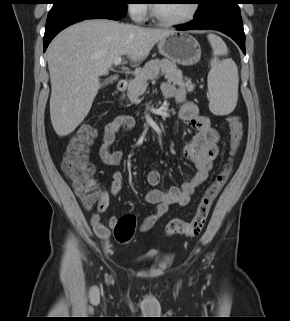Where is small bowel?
Returning <instances> with one entry per match:
<instances>
[{"instance_id": "1", "label": "small bowel", "mask_w": 290, "mask_h": 321, "mask_svg": "<svg viewBox=\"0 0 290 321\" xmlns=\"http://www.w3.org/2000/svg\"><path fill=\"white\" fill-rule=\"evenodd\" d=\"M161 91L165 98H172L177 102L179 121L195 132L193 139L183 147L182 156L195 165L196 172L181 187H171L168 190L158 188L161 179L159 170H152L148 174L147 182L151 190L146 194L145 199L148 203L155 205L156 210L144 219L143 230L153 227L168 211L171 204L187 205L194 191L209 177L213 161L219 154L218 132L211 127L208 118L199 113L197 105L186 100V89L165 82L161 86ZM135 126L136 121L130 115H118L105 125L102 144L99 148V157L104 164L117 166L122 162L123 152L112 151L111 147L120 131L131 130ZM93 181L99 191V200L95 211L91 212L90 222L96 235L103 241H107L110 237V228L115 226L117 218L111 217L108 227L102 222L100 214L107 210L111 198L120 192L123 175L119 170L114 171L109 187L103 186L98 180Z\"/></svg>"}]
</instances>
